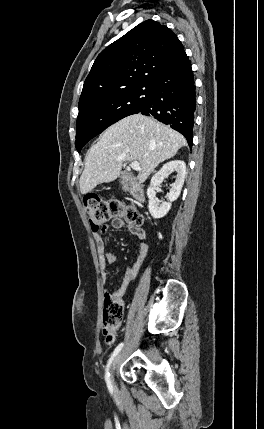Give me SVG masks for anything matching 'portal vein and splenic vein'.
I'll return each mask as SVG.
<instances>
[{"label":"portal vein and splenic vein","instance_id":"18ae733b","mask_svg":"<svg viewBox=\"0 0 264 429\" xmlns=\"http://www.w3.org/2000/svg\"><path fill=\"white\" fill-rule=\"evenodd\" d=\"M130 166L133 170H137V171L141 170V167L138 161H132Z\"/></svg>","mask_w":264,"mask_h":429}]
</instances>
